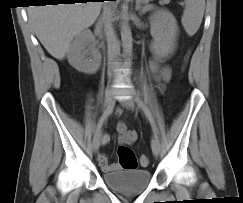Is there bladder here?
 I'll return each instance as SVG.
<instances>
[{"label": "bladder", "instance_id": "obj_1", "mask_svg": "<svg viewBox=\"0 0 243 203\" xmlns=\"http://www.w3.org/2000/svg\"><path fill=\"white\" fill-rule=\"evenodd\" d=\"M102 179L107 186L116 192L132 194L144 191L150 184L152 177L148 169H133L105 172Z\"/></svg>", "mask_w": 243, "mask_h": 203}]
</instances>
